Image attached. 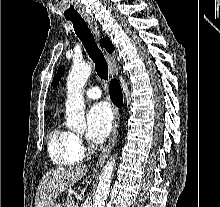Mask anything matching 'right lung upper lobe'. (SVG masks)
Wrapping results in <instances>:
<instances>
[{"mask_svg": "<svg viewBox=\"0 0 220 207\" xmlns=\"http://www.w3.org/2000/svg\"><path fill=\"white\" fill-rule=\"evenodd\" d=\"M101 45L105 47V49L109 52L112 53L114 47L112 45V43L110 42L109 38L106 37L104 39L101 40Z\"/></svg>", "mask_w": 220, "mask_h": 207, "instance_id": "cb5924a9", "label": "right lung upper lobe"}]
</instances>
